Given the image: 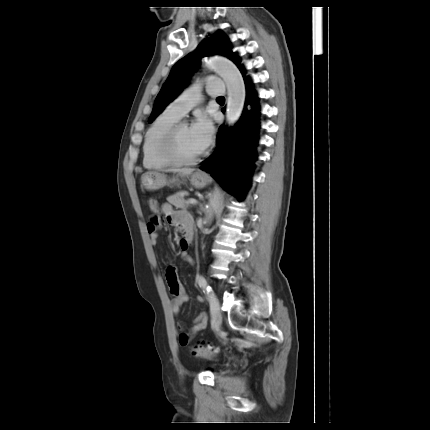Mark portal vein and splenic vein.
I'll use <instances>...</instances> for the list:
<instances>
[{"instance_id":"18ae733b","label":"portal vein and splenic vein","mask_w":430,"mask_h":430,"mask_svg":"<svg viewBox=\"0 0 430 430\" xmlns=\"http://www.w3.org/2000/svg\"><path fill=\"white\" fill-rule=\"evenodd\" d=\"M187 202L190 204H196L197 203L196 199H194V198L188 199Z\"/></svg>"}]
</instances>
